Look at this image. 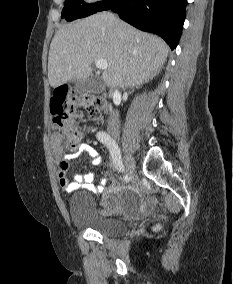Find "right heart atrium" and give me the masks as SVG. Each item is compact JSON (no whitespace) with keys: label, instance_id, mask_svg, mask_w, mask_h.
Wrapping results in <instances>:
<instances>
[{"label":"right heart atrium","instance_id":"1","mask_svg":"<svg viewBox=\"0 0 233 284\" xmlns=\"http://www.w3.org/2000/svg\"><path fill=\"white\" fill-rule=\"evenodd\" d=\"M86 1L90 3H94V2H98L99 0H86Z\"/></svg>","mask_w":233,"mask_h":284}]
</instances>
